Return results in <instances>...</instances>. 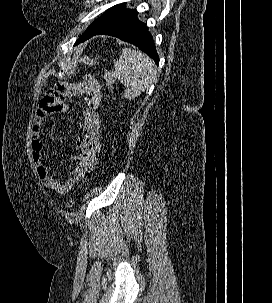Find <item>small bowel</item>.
Returning <instances> with one entry per match:
<instances>
[{
    "label": "small bowel",
    "instance_id": "1",
    "mask_svg": "<svg viewBox=\"0 0 272 303\" xmlns=\"http://www.w3.org/2000/svg\"><path fill=\"white\" fill-rule=\"evenodd\" d=\"M75 97H84L88 105L81 109L82 132L75 141L77 153L71 157L74 166L66 179H59L45 163L43 123L49 115L66 112L68 106L65 102ZM101 102L102 86L93 77L88 76L79 83L56 84L44 94L35 111L31 132L32 158L42 184L59 195L67 194L96 167L101 134V116L97 109Z\"/></svg>",
    "mask_w": 272,
    "mask_h": 303
}]
</instances>
